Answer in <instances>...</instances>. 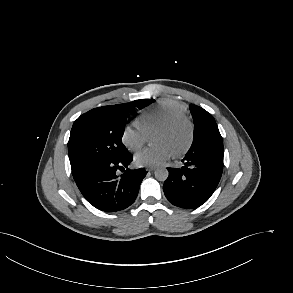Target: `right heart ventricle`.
<instances>
[{
	"label": "right heart ventricle",
	"instance_id": "obj_1",
	"mask_svg": "<svg viewBox=\"0 0 293 293\" xmlns=\"http://www.w3.org/2000/svg\"><path fill=\"white\" fill-rule=\"evenodd\" d=\"M186 108L175 101H162L145 108L136 120V125L147 133L180 116H186Z\"/></svg>",
	"mask_w": 293,
	"mask_h": 293
}]
</instances>
